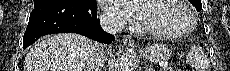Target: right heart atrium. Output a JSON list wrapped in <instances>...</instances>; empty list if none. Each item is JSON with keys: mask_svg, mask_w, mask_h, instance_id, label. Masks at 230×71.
I'll return each instance as SVG.
<instances>
[{"mask_svg": "<svg viewBox=\"0 0 230 71\" xmlns=\"http://www.w3.org/2000/svg\"><path fill=\"white\" fill-rule=\"evenodd\" d=\"M105 20H106V22H108L109 24H113V25H115V24H118L119 22H118V20L116 19V18H114V17H112V16H105Z\"/></svg>", "mask_w": 230, "mask_h": 71, "instance_id": "d8ad5b80", "label": "right heart atrium"}]
</instances>
